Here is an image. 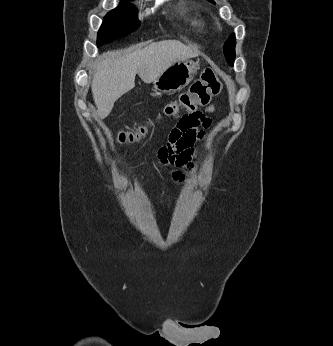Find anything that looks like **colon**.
<instances>
[{
  "label": "colon",
  "instance_id": "5ec220e1",
  "mask_svg": "<svg viewBox=\"0 0 333 346\" xmlns=\"http://www.w3.org/2000/svg\"><path fill=\"white\" fill-rule=\"evenodd\" d=\"M221 88L213 69L207 68L201 75V78L195 81L188 92L182 93L177 100L169 103L163 110L167 116L182 118L186 116H198L199 106L206 105L212 96L219 93ZM148 134V127L141 126L128 132H122L119 140L123 143L135 144L143 141Z\"/></svg>",
  "mask_w": 333,
  "mask_h": 346
}]
</instances>
